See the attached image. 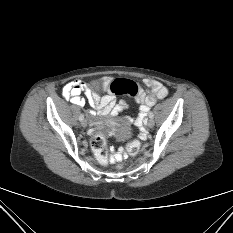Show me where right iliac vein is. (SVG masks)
<instances>
[{
    "instance_id": "right-iliac-vein-1",
    "label": "right iliac vein",
    "mask_w": 233,
    "mask_h": 233,
    "mask_svg": "<svg viewBox=\"0 0 233 233\" xmlns=\"http://www.w3.org/2000/svg\"><path fill=\"white\" fill-rule=\"evenodd\" d=\"M81 124H82L83 127H86V126H87V120H86V119H83V120L81 121Z\"/></svg>"
}]
</instances>
